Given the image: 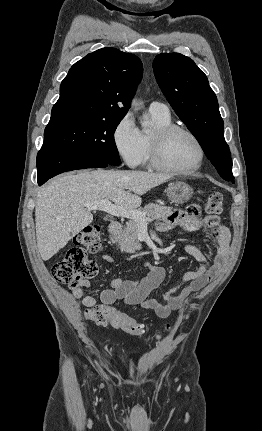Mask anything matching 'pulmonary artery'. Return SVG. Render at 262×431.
Here are the masks:
<instances>
[{
	"instance_id": "pulmonary-artery-1",
	"label": "pulmonary artery",
	"mask_w": 262,
	"mask_h": 431,
	"mask_svg": "<svg viewBox=\"0 0 262 431\" xmlns=\"http://www.w3.org/2000/svg\"><path fill=\"white\" fill-rule=\"evenodd\" d=\"M149 110L152 112H156L164 115L170 114L168 106L164 103L157 102V101H153L152 103H150Z\"/></svg>"
}]
</instances>
